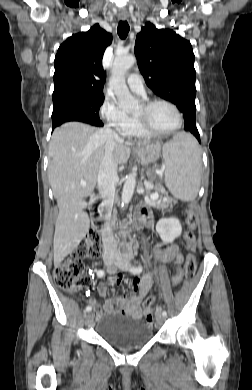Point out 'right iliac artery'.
I'll return each instance as SVG.
<instances>
[{"mask_svg": "<svg viewBox=\"0 0 252 390\" xmlns=\"http://www.w3.org/2000/svg\"><path fill=\"white\" fill-rule=\"evenodd\" d=\"M105 275V272L104 270H98L97 271V276L98 277H103ZM92 310V307L91 306H87L86 309H85V312H90Z\"/></svg>", "mask_w": 252, "mask_h": 390, "instance_id": "1", "label": "right iliac artery"}]
</instances>
